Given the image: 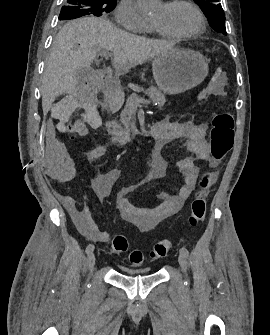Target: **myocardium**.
Segmentation results:
<instances>
[{
    "label": "myocardium",
    "instance_id": "1",
    "mask_svg": "<svg viewBox=\"0 0 270 335\" xmlns=\"http://www.w3.org/2000/svg\"><path fill=\"white\" fill-rule=\"evenodd\" d=\"M181 4L188 5L195 12V14L197 15L198 20H199L198 29H196L193 32L185 33V34H170V33H166L164 31L160 30L157 26L152 24L153 28L163 37L173 38V39H178V40H187V39L197 37L198 35H200L205 30V27H206L205 18L203 16V14L201 13V11L199 10V8L193 2H191L189 0H176V1L168 3L167 7L174 8V7H176L178 5H181ZM180 52H195V51H193V50H181ZM196 78H203V77H196Z\"/></svg>",
    "mask_w": 270,
    "mask_h": 335
}]
</instances>
